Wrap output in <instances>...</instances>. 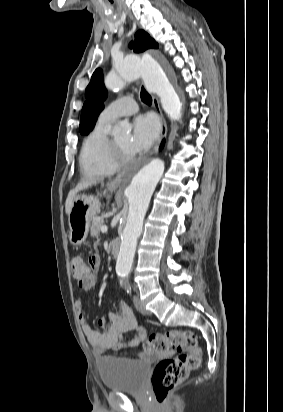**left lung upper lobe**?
I'll return each mask as SVG.
<instances>
[{"instance_id":"1","label":"left lung upper lobe","mask_w":283,"mask_h":412,"mask_svg":"<svg viewBox=\"0 0 283 412\" xmlns=\"http://www.w3.org/2000/svg\"><path fill=\"white\" fill-rule=\"evenodd\" d=\"M130 48L134 52H143L149 48H158V44L145 31L139 30L135 34V41L130 43ZM85 97L87 101L82 108L79 131L87 135L94 128L95 119L104 108L102 101L107 97L100 69L93 73L90 84L86 88Z\"/></svg>"}]
</instances>
